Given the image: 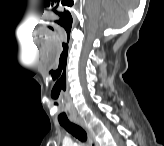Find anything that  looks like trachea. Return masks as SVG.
Segmentation results:
<instances>
[{
  "instance_id": "trachea-1",
  "label": "trachea",
  "mask_w": 164,
  "mask_h": 146,
  "mask_svg": "<svg viewBox=\"0 0 164 146\" xmlns=\"http://www.w3.org/2000/svg\"><path fill=\"white\" fill-rule=\"evenodd\" d=\"M60 125L64 127L67 132L71 133L75 138H77L81 142H86L87 134L81 126L70 121H61Z\"/></svg>"
}]
</instances>
